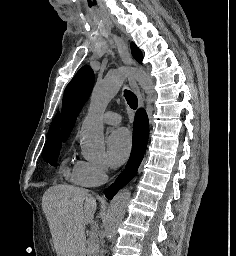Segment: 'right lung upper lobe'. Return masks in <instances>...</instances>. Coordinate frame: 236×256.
<instances>
[{
  "instance_id": "1",
  "label": "right lung upper lobe",
  "mask_w": 236,
  "mask_h": 256,
  "mask_svg": "<svg viewBox=\"0 0 236 256\" xmlns=\"http://www.w3.org/2000/svg\"><path fill=\"white\" fill-rule=\"evenodd\" d=\"M60 114L57 113L50 129V133L46 142H58L61 141L60 135Z\"/></svg>"
}]
</instances>
